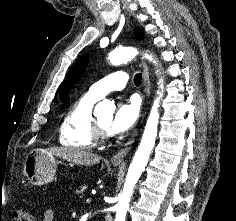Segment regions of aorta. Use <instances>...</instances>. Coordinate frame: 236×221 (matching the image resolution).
Masks as SVG:
<instances>
[{"instance_id":"aorta-1","label":"aorta","mask_w":236,"mask_h":221,"mask_svg":"<svg viewBox=\"0 0 236 221\" xmlns=\"http://www.w3.org/2000/svg\"><path fill=\"white\" fill-rule=\"evenodd\" d=\"M138 51L133 47H124L121 49L114 50L109 55V60L113 65H120L122 63L132 60ZM145 58L149 61H152L156 64V61L153 59L152 55L145 53ZM159 88L162 91H158V97L154 100L150 115L148 117L144 133L140 142V145L133 157V160L129 166L126 180L124 183L123 191L119 196V202L116 205V217L115 221H125L126 213L129 207V202L133 194L134 187L140 178L142 172L144 171L150 153L155 145V140L157 136V129L159 123V112L158 107L160 99L163 96V79L159 80ZM115 111V105L113 102L104 99L99 102L95 109L94 115L97 117L100 116H112Z\"/></svg>"}]
</instances>
